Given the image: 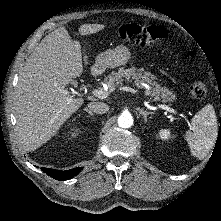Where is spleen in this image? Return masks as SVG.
Masks as SVG:
<instances>
[{
  "mask_svg": "<svg viewBox=\"0 0 221 221\" xmlns=\"http://www.w3.org/2000/svg\"><path fill=\"white\" fill-rule=\"evenodd\" d=\"M191 131H187L185 139L191 154L199 159L205 158L215 145L218 135V123L211 104L198 111L191 120Z\"/></svg>",
  "mask_w": 221,
  "mask_h": 221,
  "instance_id": "1",
  "label": "spleen"
}]
</instances>
